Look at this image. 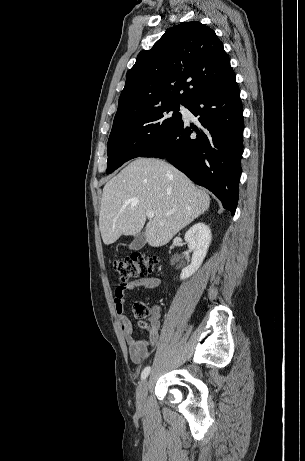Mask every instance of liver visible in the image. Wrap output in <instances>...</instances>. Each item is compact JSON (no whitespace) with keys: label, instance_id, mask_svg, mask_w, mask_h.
<instances>
[{"label":"liver","instance_id":"obj_1","mask_svg":"<svg viewBox=\"0 0 305 461\" xmlns=\"http://www.w3.org/2000/svg\"><path fill=\"white\" fill-rule=\"evenodd\" d=\"M209 206V195L173 166L163 160L137 158L103 188L102 240L109 245L122 235L136 236L145 225L146 212L153 211L145 228L146 241L153 247L163 246Z\"/></svg>","mask_w":305,"mask_h":461}]
</instances>
